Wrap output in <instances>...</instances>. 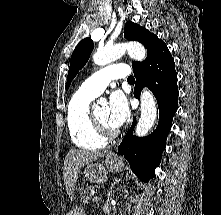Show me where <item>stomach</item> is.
I'll return each instance as SVG.
<instances>
[{"instance_id": "obj_1", "label": "stomach", "mask_w": 221, "mask_h": 215, "mask_svg": "<svg viewBox=\"0 0 221 215\" xmlns=\"http://www.w3.org/2000/svg\"><path fill=\"white\" fill-rule=\"evenodd\" d=\"M105 166L100 163L87 164L84 169L86 179L92 183H103L107 180L108 171H121L124 164L119 157L109 154L105 158ZM68 215H85V212L82 207L74 206Z\"/></svg>"}]
</instances>
